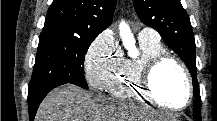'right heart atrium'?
<instances>
[{"label":"right heart atrium","mask_w":217,"mask_h":121,"mask_svg":"<svg viewBox=\"0 0 217 121\" xmlns=\"http://www.w3.org/2000/svg\"><path fill=\"white\" fill-rule=\"evenodd\" d=\"M123 60L118 42L109 31L101 32L90 45L85 57V76L90 85L104 89Z\"/></svg>","instance_id":"1"}]
</instances>
